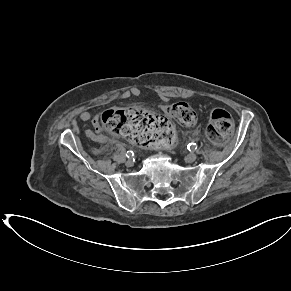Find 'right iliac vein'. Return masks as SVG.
<instances>
[{
  "mask_svg": "<svg viewBox=\"0 0 291 291\" xmlns=\"http://www.w3.org/2000/svg\"><path fill=\"white\" fill-rule=\"evenodd\" d=\"M134 165V162L132 160H127L126 161V166L127 167H132Z\"/></svg>",
  "mask_w": 291,
  "mask_h": 291,
  "instance_id": "obj_1",
  "label": "right iliac vein"
}]
</instances>
